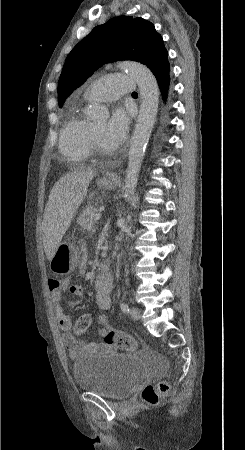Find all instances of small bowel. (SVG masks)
<instances>
[{
    "label": "small bowel",
    "instance_id": "1",
    "mask_svg": "<svg viewBox=\"0 0 245 450\" xmlns=\"http://www.w3.org/2000/svg\"><path fill=\"white\" fill-rule=\"evenodd\" d=\"M95 293H96V307L100 310H108L112 305L111 294L113 291V275L109 273H101L95 280ZM67 290L71 295L79 298H83L87 295L86 290L79 285L70 284V279L64 280L63 284L59 288L50 289L51 294V307L56 320L63 331V341L69 352L71 360H76L82 354H92L98 349H109L110 346L103 342H96L94 340H80L75 338L71 333V321L66 314L62 302V292ZM74 305V302H72ZM105 330L99 329L98 335L103 336Z\"/></svg>",
    "mask_w": 245,
    "mask_h": 450
}]
</instances>
